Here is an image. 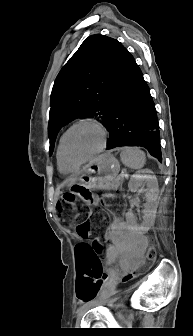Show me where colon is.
Returning <instances> with one entry per match:
<instances>
[{"mask_svg": "<svg viewBox=\"0 0 193 336\" xmlns=\"http://www.w3.org/2000/svg\"><path fill=\"white\" fill-rule=\"evenodd\" d=\"M76 204V198L73 193H66L57 204L58 210L62 213L70 211ZM108 222V218L103 211H98L94 215L81 219L79 213L69 214L62 218V223L66 227L74 226L77 234L83 239H89L95 232H100L103 225ZM106 245V238L99 233L92 245H79L76 249L77 267L80 272H87L93 284L100 285L101 278L104 275L100 255ZM156 250L150 246L147 250L145 260L151 262L154 260ZM138 274V269H134L131 276ZM79 296L83 301L91 298V295L84 289L79 288Z\"/></svg>", "mask_w": 193, "mask_h": 336, "instance_id": "colon-1", "label": "colon"}]
</instances>
